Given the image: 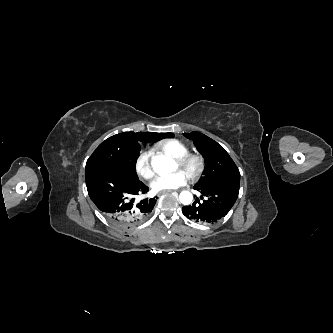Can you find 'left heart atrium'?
Wrapping results in <instances>:
<instances>
[{
	"label": "left heart atrium",
	"instance_id": "obj_1",
	"mask_svg": "<svg viewBox=\"0 0 333 333\" xmlns=\"http://www.w3.org/2000/svg\"><path fill=\"white\" fill-rule=\"evenodd\" d=\"M188 181V176L183 171H178L168 176H159L155 178L151 187L155 192H162L166 190L176 189L185 185Z\"/></svg>",
	"mask_w": 333,
	"mask_h": 333
}]
</instances>
